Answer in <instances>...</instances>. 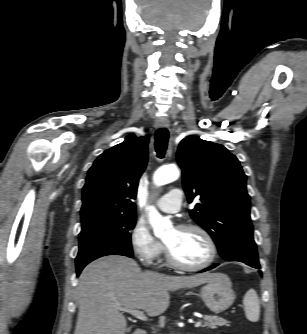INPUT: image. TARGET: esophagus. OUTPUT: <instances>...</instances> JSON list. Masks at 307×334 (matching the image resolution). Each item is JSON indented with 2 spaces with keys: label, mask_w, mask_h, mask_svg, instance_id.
Here are the masks:
<instances>
[{
  "label": "esophagus",
  "mask_w": 307,
  "mask_h": 334,
  "mask_svg": "<svg viewBox=\"0 0 307 334\" xmlns=\"http://www.w3.org/2000/svg\"><path fill=\"white\" fill-rule=\"evenodd\" d=\"M156 128H167L169 127V120L166 117L159 118L155 121Z\"/></svg>",
  "instance_id": "1"
}]
</instances>
